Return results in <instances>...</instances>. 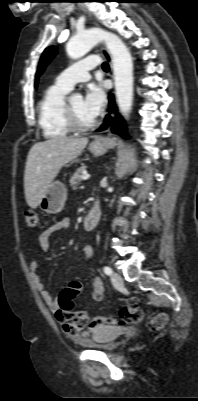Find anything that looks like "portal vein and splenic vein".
Segmentation results:
<instances>
[{"mask_svg": "<svg viewBox=\"0 0 198 401\" xmlns=\"http://www.w3.org/2000/svg\"><path fill=\"white\" fill-rule=\"evenodd\" d=\"M90 178L89 174H84V176L82 177L83 180H88Z\"/></svg>", "mask_w": 198, "mask_h": 401, "instance_id": "portal-vein-and-splenic-vein-1", "label": "portal vein and splenic vein"}]
</instances>
